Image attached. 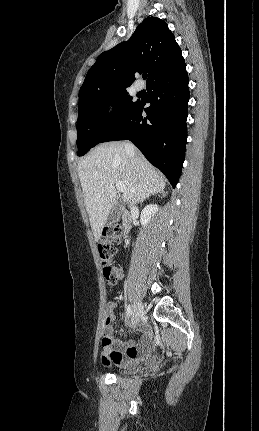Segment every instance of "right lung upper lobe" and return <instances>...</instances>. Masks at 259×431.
<instances>
[{
  "label": "right lung upper lobe",
  "mask_w": 259,
  "mask_h": 431,
  "mask_svg": "<svg viewBox=\"0 0 259 431\" xmlns=\"http://www.w3.org/2000/svg\"><path fill=\"white\" fill-rule=\"evenodd\" d=\"M184 62L166 22L146 18L128 41L99 55L80 88L79 102L92 94L126 89L135 80L136 72H148L149 85Z\"/></svg>",
  "instance_id": "obj_1"
}]
</instances>
